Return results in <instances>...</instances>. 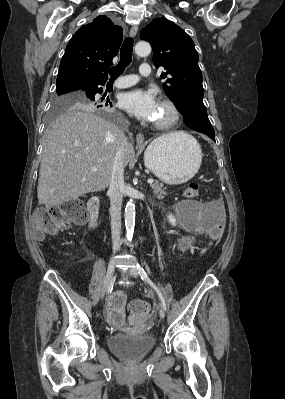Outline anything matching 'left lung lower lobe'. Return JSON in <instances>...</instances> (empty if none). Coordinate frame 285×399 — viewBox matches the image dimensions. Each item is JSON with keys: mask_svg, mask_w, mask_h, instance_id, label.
<instances>
[{"mask_svg": "<svg viewBox=\"0 0 285 399\" xmlns=\"http://www.w3.org/2000/svg\"><path fill=\"white\" fill-rule=\"evenodd\" d=\"M209 137H210L212 140L215 141V134H214V135H210Z\"/></svg>", "mask_w": 285, "mask_h": 399, "instance_id": "1", "label": "left lung lower lobe"}]
</instances>
